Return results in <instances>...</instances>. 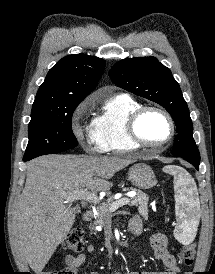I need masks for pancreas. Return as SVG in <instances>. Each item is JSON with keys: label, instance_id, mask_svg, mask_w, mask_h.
<instances>
[{"label": "pancreas", "instance_id": "pancreas-1", "mask_svg": "<svg viewBox=\"0 0 215 274\" xmlns=\"http://www.w3.org/2000/svg\"><path fill=\"white\" fill-rule=\"evenodd\" d=\"M124 190H129V189H124ZM130 190L135 191L136 196L132 198L131 203L129 205L137 206L139 213L146 218L148 216L149 197L140 190H136L133 188H131ZM113 202H114L113 197H110L107 199L105 203H102V205H100L97 208V213L94 216L95 220L93 224L90 225V229L92 231L95 230L97 226H103L106 221L111 219V214L110 212H108V208Z\"/></svg>", "mask_w": 215, "mask_h": 274}]
</instances>
